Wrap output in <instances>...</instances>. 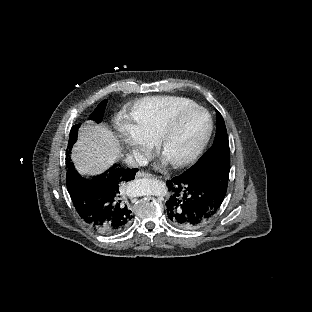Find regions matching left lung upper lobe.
<instances>
[{"label":"left lung upper lobe","mask_w":312,"mask_h":312,"mask_svg":"<svg viewBox=\"0 0 312 312\" xmlns=\"http://www.w3.org/2000/svg\"><path fill=\"white\" fill-rule=\"evenodd\" d=\"M220 162H224V164L230 163V149L223 117L217 111V130L214 142L208 151L188 171H195Z\"/></svg>","instance_id":"5c2ea615"}]
</instances>
